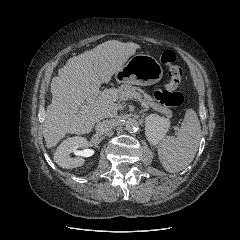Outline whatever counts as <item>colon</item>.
<instances>
[{
  "mask_svg": "<svg viewBox=\"0 0 240 240\" xmlns=\"http://www.w3.org/2000/svg\"><path fill=\"white\" fill-rule=\"evenodd\" d=\"M160 60L168 66L169 82L165 86L156 91V99L167 107H177L183 103L184 97L178 91L181 81L182 70L174 64L175 54L171 50H162L160 52Z\"/></svg>",
  "mask_w": 240,
  "mask_h": 240,
  "instance_id": "obj_1",
  "label": "colon"
}]
</instances>
